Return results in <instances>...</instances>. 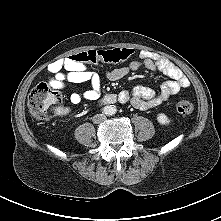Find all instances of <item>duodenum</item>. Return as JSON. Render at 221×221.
I'll use <instances>...</instances> for the list:
<instances>
[{
	"instance_id": "1",
	"label": "duodenum",
	"mask_w": 221,
	"mask_h": 221,
	"mask_svg": "<svg viewBox=\"0 0 221 221\" xmlns=\"http://www.w3.org/2000/svg\"><path fill=\"white\" fill-rule=\"evenodd\" d=\"M117 101V97L113 94H107L103 97V104H114Z\"/></svg>"
}]
</instances>
